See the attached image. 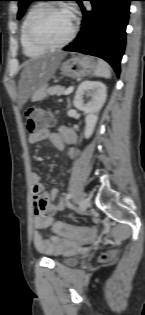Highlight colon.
I'll use <instances>...</instances> for the list:
<instances>
[{"label": "colon", "mask_w": 145, "mask_h": 315, "mask_svg": "<svg viewBox=\"0 0 145 315\" xmlns=\"http://www.w3.org/2000/svg\"><path fill=\"white\" fill-rule=\"evenodd\" d=\"M26 130L29 134L37 133L46 129L52 123V116L36 107L29 108L26 113ZM53 231L62 237L72 240L84 241L95 236L94 228L74 227L68 224L57 222L53 225ZM110 255H104L103 258H109Z\"/></svg>", "instance_id": "5ec220e1"}]
</instances>
